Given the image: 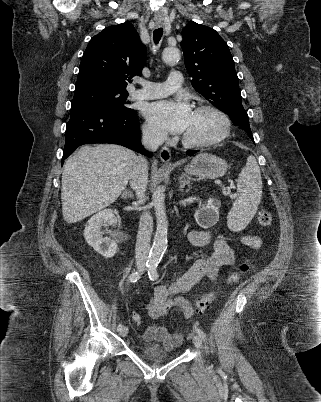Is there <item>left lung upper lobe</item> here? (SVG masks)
I'll list each match as a JSON object with an SVG mask.
<instances>
[{
	"instance_id": "left-lung-upper-lobe-1",
	"label": "left lung upper lobe",
	"mask_w": 321,
	"mask_h": 402,
	"mask_svg": "<svg viewBox=\"0 0 321 402\" xmlns=\"http://www.w3.org/2000/svg\"><path fill=\"white\" fill-rule=\"evenodd\" d=\"M182 37L185 66L194 89L253 139L227 43L214 29L193 21L183 28Z\"/></svg>"
}]
</instances>
